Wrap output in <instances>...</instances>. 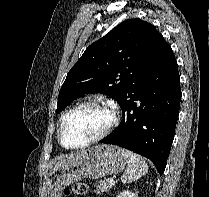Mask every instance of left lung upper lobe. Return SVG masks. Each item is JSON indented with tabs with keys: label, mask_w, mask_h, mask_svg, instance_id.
<instances>
[{
	"label": "left lung upper lobe",
	"mask_w": 209,
	"mask_h": 197,
	"mask_svg": "<svg viewBox=\"0 0 209 197\" xmlns=\"http://www.w3.org/2000/svg\"><path fill=\"white\" fill-rule=\"evenodd\" d=\"M165 43L146 21L120 23L91 44L71 68L59 91L57 112L86 93H104L121 104Z\"/></svg>",
	"instance_id": "obj_1"
}]
</instances>
